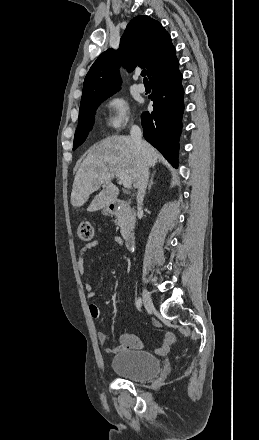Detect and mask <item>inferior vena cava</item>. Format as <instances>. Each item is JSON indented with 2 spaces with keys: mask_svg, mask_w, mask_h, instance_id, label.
Wrapping results in <instances>:
<instances>
[{
  "mask_svg": "<svg viewBox=\"0 0 259 440\" xmlns=\"http://www.w3.org/2000/svg\"><path fill=\"white\" fill-rule=\"evenodd\" d=\"M130 138L134 142L138 151H144V144L142 141V132L137 125H132L130 130ZM149 180V167L146 163L141 165L140 175L138 179V193H137V206L138 211H141V206L145 196V191L147 188Z\"/></svg>",
  "mask_w": 259,
  "mask_h": 440,
  "instance_id": "1",
  "label": "inferior vena cava"
}]
</instances>
